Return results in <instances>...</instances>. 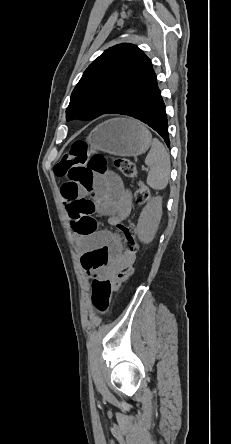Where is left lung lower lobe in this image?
I'll return each mask as SVG.
<instances>
[{
  "mask_svg": "<svg viewBox=\"0 0 231 444\" xmlns=\"http://www.w3.org/2000/svg\"><path fill=\"white\" fill-rule=\"evenodd\" d=\"M117 114L132 116L146 123L159 133L167 146L170 145L165 104L153 69Z\"/></svg>",
  "mask_w": 231,
  "mask_h": 444,
  "instance_id": "0a47b994",
  "label": "left lung lower lobe"
}]
</instances>
